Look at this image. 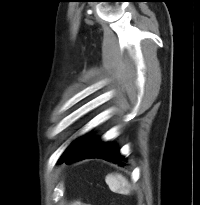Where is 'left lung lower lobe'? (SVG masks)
Wrapping results in <instances>:
<instances>
[{
    "mask_svg": "<svg viewBox=\"0 0 200 205\" xmlns=\"http://www.w3.org/2000/svg\"><path fill=\"white\" fill-rule=\"evenodd\" d=\"M86 158H103L120 166L125 165V163L122 162L125 159L119 154V150L115 145L103 143L96 138H86L83 140L61 163H70Z\"/></svg>",
    "mask_w": 200,
    "mask_h": 205,
    "instance_id": "0a47b994",
    "label": "left lung lower lobe"
}]
</instances>
